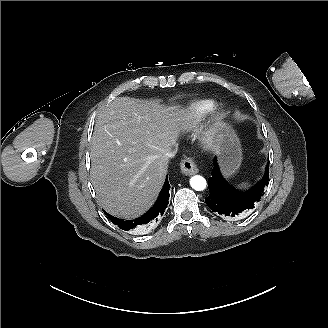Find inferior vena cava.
I'll use <instances>...</instances> for the list:
<instances>
[{"label":"inferior vena cava","mask_w":328,"mask_h":328,"mask_svg":"<svg viewBox=\"0 0 328 328\" xmlns=\"http://www.w3.org/2000/svg\"><path fill=\"white\" fill-rule=\"evenodd\" d=\"M176 154V151H169L168 153H166V157L169 158H173Z\"/></svg>","instance_id":"602c4592"}]
</instances>
